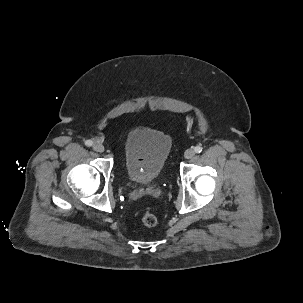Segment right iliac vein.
Listing matches in <instances>:
<instances>
[{"label": "right iliac vein", "mask_w": 303, "mask_h": 303, "mask_svg": "<svg viewBox=\"0 0 303 303\" xmlns=\"http://www.w3.org/2000/svg\"><path fill=\"white\" fill-rule=\"evenodd\" d=\"M93 149L96 151V152H103L104 151V146L101 144V143H94L93 144Z\"/></svg>", "instance_id": "right-iliac-vein-1"}]
</instances>
